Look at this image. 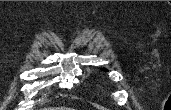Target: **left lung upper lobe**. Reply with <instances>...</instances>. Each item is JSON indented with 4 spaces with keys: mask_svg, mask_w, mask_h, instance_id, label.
Segmentation results:
<instances>
[{
    "mask_svg": "<svg viewBox=\"0 0 171 110\" xmlns=\"http://www.w3.org/2000/svg\"><path fill=\"white\" fill-rule=\"evenodd\" d=\"M102 70L107 71V69H105V68H102Z\"/></svg>",
    "mask_w": 171,
    "mask_h": 110,
    "instance_id": "1",
    "label": "left lung upper lobe"
}]
</instances>
